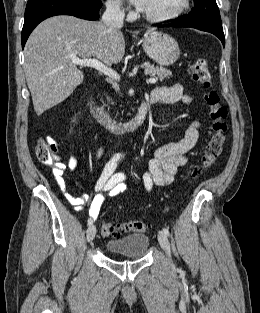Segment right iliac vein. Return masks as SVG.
Here are the masks:
<instances>
[{
    "label": "right iliac vein",
    "mask_w": 260,
    "mask_h": 313,
    "mask_svg": "<svg viewBox=\"0 0 260 313\" xmlns=\"http://www.w3.org/2000/svg\"><path fill=\"white\" fill-rule=\"evenodd\" d=\"M96 235V228L94 225L89 226L87 229V241L91 242Z\"/></svg>",
    "instance_id": "obj_1"
}]
</instances>
